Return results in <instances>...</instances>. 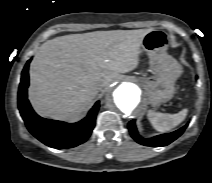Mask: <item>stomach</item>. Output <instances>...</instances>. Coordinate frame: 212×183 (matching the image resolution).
<instances>
[{
	"mask_svg": "<svg viewBox=\"0 0 212 183\" xmlns=\"http://www.w3.org/2000/svg\"><path fill=\"white\" fill-rule=\"evenodd\" d=\"M168 45V34L158 29L148 32L142 40L141 50L149 56L150 68L154 75L142 77L140 80L152 106L173 97L175 82L182 73L179 63L166 52Z\"/></svg>",
	"mask_w": 212,
	"mask_h": 183,
	"instance_id": "1",
	"label": "stomach"
}]
</instances>
